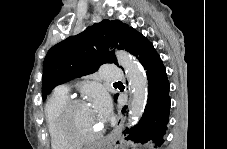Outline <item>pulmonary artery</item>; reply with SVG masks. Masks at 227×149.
I'll list each match as a JSON object with an SVG mask.
<instances>
[{"instance_id": "1", "label": "pulmonary artery", "mask_w": 227, "mask_h": 149, "mask_svg": "<svg viewBox=\"0 0 227 149\" xmlns=\"http://www.w3.org/2000/svg\"><path fill=\"white\" fill-rule=\"evenodd\" d=\"M101 75L106 82H117L125 77L122 69L110 64H105L102 66ZM57 90L68 93L70 87L68 85H61Z\"/></svg>"}]
</instances>
